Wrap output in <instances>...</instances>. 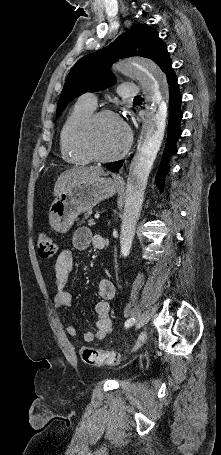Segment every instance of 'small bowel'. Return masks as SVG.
Instances as JSON below:
<instances>
[{"label":"small bowel","mask_w":221,"mask_h":455,"mask_svg":"<svg viewBox=\"0 0 221 455\" xmlns=\"http://www.w3.org/2000/svg\"><path fill=\"white\" fill-rule=\"evenodd\" d=\"M100 235H93L87 228L77 229L72 238L73 247L76 250H84L90 244L96 247V242L101 238ZM74 264V251L70 247H63L59 250L54 266L53 284L55 293L53 295V304L55 308L70 306L72 304V295L65 287L68 284ZM97 292L99 299L96 301L94 310L96 313V331H87L83 336L86 343L94 340H103L113 332V323L110 318L109 301L115 295V286L112 281L101 279L97 283ZM65 330L71 337L77 336V330L73 325H66Z\"/></svg>","instance_id":"small-bowel-1"}]
</instances>
